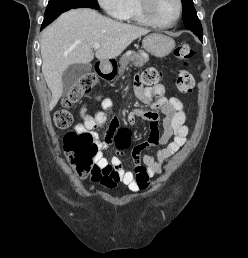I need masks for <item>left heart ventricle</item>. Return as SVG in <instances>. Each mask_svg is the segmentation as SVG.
<instances>
[{
    "instance_id": "b2bd125f",
    "label": "left heart ventricle",
    "mask_w": 248,
    "mask_h": 258,
    "mask_svg": "<svg viewBox=\"0 0 248 258\" xmlns=\"http://www.w3.org/2000/svg\"><path fill=\"white\" fill-rule=\"evenodd\" d=\"M178 5L176 0H153L151 12L162 23H170L177 15Z\"/></svg>"
}]
</instances>
